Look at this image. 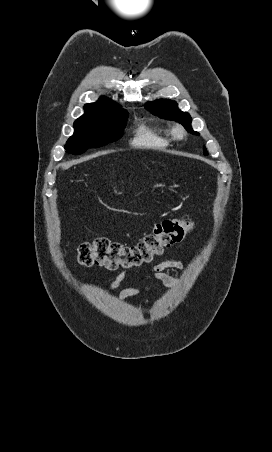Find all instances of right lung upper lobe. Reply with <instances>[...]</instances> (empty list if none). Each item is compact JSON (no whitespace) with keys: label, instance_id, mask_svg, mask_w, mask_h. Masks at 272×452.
Here are the masks:
<instances>
[{"label":"right lung upper lobe","instance_id":"1","mask_svg":"<svg viewBox=\"0 0 272 452\" xmlns=\"http://www.w3.org/2000/svg\"><path fill=\"white\" fill-rule=\"evenodd\" d=\"M115 107H119L116 103L112 102L110 99L101 97L95 103H89L84 106L85 113L83 116L78 118L75 122L83 121L95 116H98L104 112H107Z\"/></svg>","mask_w":272,"mask_h":452}]
</instances>
